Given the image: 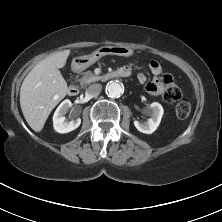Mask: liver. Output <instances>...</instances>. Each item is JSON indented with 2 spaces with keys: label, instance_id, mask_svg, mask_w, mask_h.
<instances>
[{
  "label": "liver",
  "instance_id": "6515ba94",
  "mask_svg": "<svg viewBox=\"0 0 222 222\" xmlns=\"http://www.w3.org/2000/svg\"><path fill=\"white\" fill-rule=\"evenodd\" d=\"M69 54L70 50L51 54L34 66L21 85V110L35 132L43 129L51 111L67 94L59 68L65 66Z\"/></svg>",
  "mask_w": 222,
  "mask_h": 222
}]
</instances>
